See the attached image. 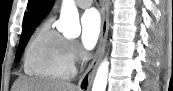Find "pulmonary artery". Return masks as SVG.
Returning <instances> with one entry per match:
<instances>
[{"label": "pulmonary artery", "instance_id": "obj_1", "mask_svg": "<svg viewBox=\"0 0 173 91\" xmlns=\"http://www.w3.org/2000/svg\"><path fill=\"white\" fill-rule=\"evenodd\" d=\"M75 2L77 4V6L80 8H87V7L91 6V4L93 3L92 0H78Z\"/></svg>", "mask_w": 173, "mask_h": 91}]
</instances>
